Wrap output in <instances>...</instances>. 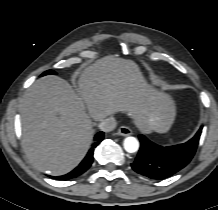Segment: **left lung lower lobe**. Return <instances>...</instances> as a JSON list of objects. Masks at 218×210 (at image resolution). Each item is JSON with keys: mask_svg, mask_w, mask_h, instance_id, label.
<instances>
[{"mask_svg": "<svg viewBox=\"0 0 218 210\" xmlns=\"http://www.w3.org/2000/svg\"><path fill=\"white\" fill-rule=\"evenodd\" d=\"M201 131L202 126L188 142L168 147L159 146L139 135L141 146L135 161L131 164L132 169L151 179H164L175 174L192 159Z\"/></svg>", "mask_w": 218, "mask_h": 210, "instance_id": "obj_1", "label": "left lung lower lobe"}]
</instances>
